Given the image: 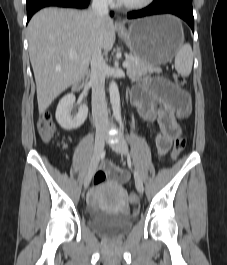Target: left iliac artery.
<instances>
[{
	"instance_id": "1",
	"label": "left iliac artery",
	"mask_w": 227,
	"mask_h": 265,
	"mask_svg": "<svg viewBox=\"0 0 227 265\" xmlns=\"http://www.w3.org/2000/svg\"><path fill=\"white\" fill-rule=\"evenodd\" d=\"M120 126H121L122 132H123V134H124V126H123V124L120 123Z\"/></svg>"
}]
</instances>
